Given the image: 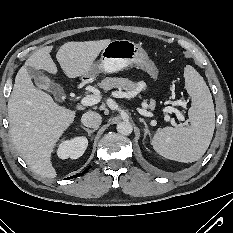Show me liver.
<instances>
[{
  "label": "liver",
  "instance_id": "1",
  "mask_svg": "<svg viewBox=\"0 0 233 233\" xmlns=\"http://www.w3.org/2000/svg\"><path fill=\"white\" fill-rule=\"evenodd\" d=\"M110 41L67 42L58 50L57 61L69 78L87 77ZM52 49L41 48L26 60L8 100L10 134L16 150L34 173L48 178L57 175L51 162L54 148L76 117V111L58 105L49 94L36 88L28 74L27 67L54 75L58 72L50 55Z\"/></svg>",
  "mask_w": 233,
  "mask_h": 233
}]
</instances>
